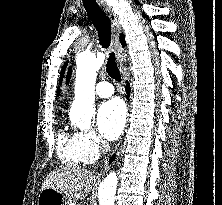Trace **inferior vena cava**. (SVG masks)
I'll use <instances>...</instances> for the list:
<instances>
[{"instance_id":"1","label":"inferior vena cava","mask_w":222,"mask_h":205,"mask_svg":"<svg viewBox=\"0 0 222 205\" xmlns=\"http://www.w3.org/2000/svg\"><path fill=\"white\" fill-rule=\"evenodd\" d=\"M103 149H104V152L109 151V145L106 142H103Z\"/></svg>"}]
</instances>
